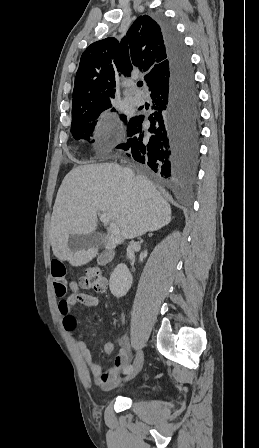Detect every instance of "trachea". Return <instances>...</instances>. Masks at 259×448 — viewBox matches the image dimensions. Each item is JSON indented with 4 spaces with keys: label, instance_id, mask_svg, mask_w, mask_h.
<instances>
[{
    "label": "trachea",
    "instance_id": "obj_1",
    "mask_svg": "<svg viewBox=\"0 0 259 448\" xmlns=\"http://www.w3.org/2000/svg\"><path fill=\"white\" fill-rule=\"evenodd\" d=\"M137 86L138 87H142L143 86V82L142 81L137 82Z\"/></svg>",
    "mask_w": 259,
    "mask_h": 448
}]
</instances>
